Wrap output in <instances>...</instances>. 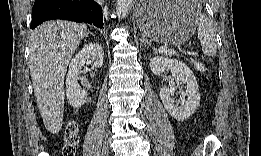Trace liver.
Returning <instances> with one entry per match:
<instances>
[{
  "label": "liver",
  "mask_w": 261,
  "mask_h": 156,
  "mask_svg": "<svg viewBox=\"0 0 261 156\" xmlns=\"http://www.w3.org/2000/svg\"><path fill=\"white\" fill-rule=\"evenodd\" d=\"M85 24L48 21L30 38V74L34 94L46 129L57 134L64 113V77L73 54L88 34Z\"/></svg>",
  "instance_id": "obj_1"
}]
</instances>
